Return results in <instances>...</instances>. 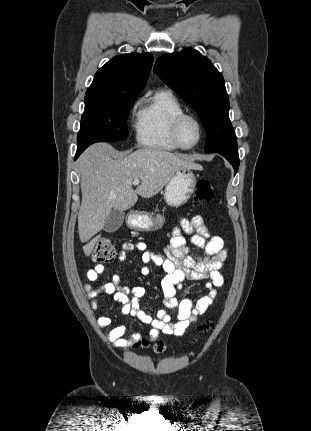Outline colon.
I'll return each mask as SVG.
<instances>
[{
    "label": "colon",
    "instance_id": "obj_1",
    "mask_svg": "<svg viewBox=\"0 0 311 431\" xmlns=\"http://www.w3.org/2000/svg\"><path fill=\"white\" fill-rule=\"evenodd\" d=\"M214 196V188L211 185V183L204 178H201L196 183L195 188V194H194V200L197 203H207L212 200ZM115 256V246L111 239L108 237H102L93 253H92V260L94 262L99 263H105L111 261ZM212 327V323L209 321L203 323L199 327V331L204 333L207 332ZM133 347L136 348H148L151 347L156 353H161L166 349L165 344L162 341L155 342L153 344H150V342L147 339L144 338H138L132 343Z\"/></svg>",
    "mask_w": 311,
    "mask_h": 431
}]
</instances>
